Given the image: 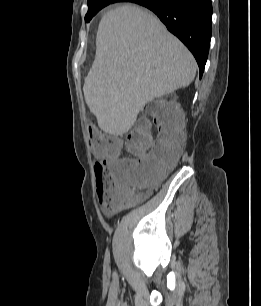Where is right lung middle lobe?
I'll list each match as a JSON object with an SVG mask.
<instances>
[{
	"label": "right lung middle lobe",
	"instance_id": "obj_1",
	"mask_svg": "<svg viewBox=\"0 0 261 306\" xmlns=\"http://www.w3.org/2000/svg\"><path fill=\"white\" fill-rule=\"evenodd\" d=\"M118 1H90L88 2V12L85 16V22H89L105 6Z\"/></svg>",
	"mask_w": 261,
	"mask_h": 306
}]
</instances>
